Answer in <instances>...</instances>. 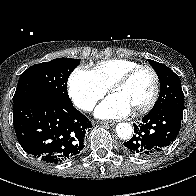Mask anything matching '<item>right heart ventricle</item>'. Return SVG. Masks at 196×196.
Segmentation results:
<instances>
[{"label":"right heart ventricle","instance_id":"e07e8e85","mask_svg":"<svg viewBox=\"0 0 196 196\" xmlns=\"http://www.w3.org/2000/svg\"><path fill=\"white\" fill-rule=\"evenodd\" d=\"M141 64L123 58H114L98 62L91 70L97 81L106 89L120 76Z\"/></svg>","mask_w":196,"mask_h":196}]
</instances>
